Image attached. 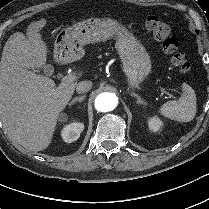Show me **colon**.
Instances as JSON below:
<instances>
[{
    "instance_id": "colon-1",
    "label": "colon",
    "mask_w": 209,
    "mask_h": 209,
    "mask_svg": "<svg viewBox=\"0 0 209 209\" xmlns=\"http://www.w3.org/2000/svg\"><path fill=\"white\" fill-rule=\"evenodd\" d=\"M144 27L160 43L163 53L169 56L170 65L177 68L182 74L189 73L192 66L189 57L178 51L179 40L172 35L168 24L162 22L157 16L149 14L144 19Z\"/></svg>"
}]
</instances>
